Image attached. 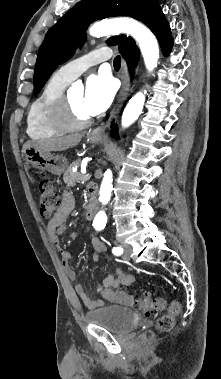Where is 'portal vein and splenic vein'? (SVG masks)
I'll return each mask as SVG.
<instances>
[{"label":"portal vein and splenic vein","mask_w":221,"mask_h":379,"mask_svg":"<svg viewBox=\"0 0 221 379\" xmlns=\"http://www.w3.org/2000/svg\"><path fill=\"white\" fill-rule=\"evenodd\" d=\"M81 174H82L83 177H85V178L89 176L88 174H86V169L81 170Z\"/></svg>","instance_id":"obj_1"}]
</instances>
